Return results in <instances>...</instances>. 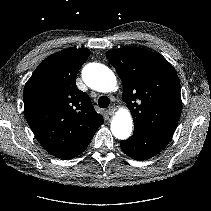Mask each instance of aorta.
Returning <instances> with one entry per match:
<instances>
[{
  "label": "aorta",
  "instance_id": "762f6f07",
  "mask_svg": "<svg viewBox=\"0 0 211 211\" xmlns=\"http://www.w3.org/2000/svg\"><path fill=\"white\" fill-rule=\"evenodd\" d=\"M84 82L92 89L99 92H111L117 80L114 73L100 63H89L82 70ZM133 121L128 109L119 110L112 119L111 131L121 140L127 139L132 133Z\"/></svg>",
  "mask_w": 211,
  "mask_h": 211
}]
</instances>
